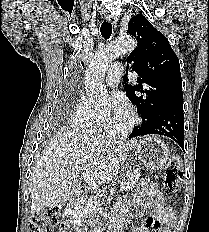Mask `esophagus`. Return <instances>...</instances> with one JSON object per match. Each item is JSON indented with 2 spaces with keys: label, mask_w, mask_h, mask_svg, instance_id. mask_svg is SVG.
I'll use <instances>...</instances> for the list:
<instances>
[{
  "label": "esophagus",
  "mask_w": 209,
  "mask_h": 232,
  "mask_svg": "<svg viewBox=\"0 0 209 232\" xmlns=\"http://www.w3.org/2000/svg\"><path fill=\"white\" fill-rule=\"evenodd\" d=\"M104 19H105L106 21L110 22V23H111L112 25H114V26L117 25V19H116L114 16L110 15V14H106V15L104 16Z\"/></svg>",
  "instance_id": "esophagus-1"
}]
</instances>
